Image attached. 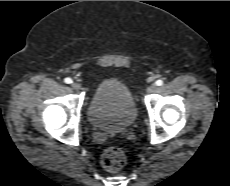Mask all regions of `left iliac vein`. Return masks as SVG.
Here are the masks:
<instances>
[{"label": "left iliac vein", "instance_id": "1", "mask_svg": "<svg viewBox=\"0 0 230 186\" xmlns=\"http://www.w3.org/2000/svg\"><path fill=\"white\" fill-rule=\"evenodd\" d=\"M156 90V85L155 84H152L150 85L148 88H147V92L148 93H152Z\"/></svg>", "mask_w": 230, "mask_h": 186}]
</instances>
